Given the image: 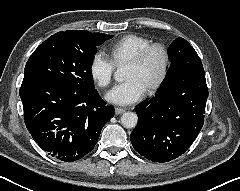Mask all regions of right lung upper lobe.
<instances>
[{
  "instance_id": "1",
  "label": "right lung upper lobe",
  "mask_w": 240,
  "mask_h": 191,
  "mask_svg": "<svg viewBox=\"0 0 240 191\" xmlns=\"http://www.w3.org/2000/svg\"><path fill=\"white\" fill-rule=\"evenodd\" d=\"M69 32H72V33H78V34H81V33H88V31H78V30H72V31H69Z\"/></svg>"
}]
</instances>
